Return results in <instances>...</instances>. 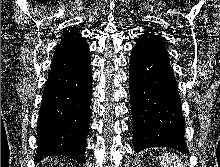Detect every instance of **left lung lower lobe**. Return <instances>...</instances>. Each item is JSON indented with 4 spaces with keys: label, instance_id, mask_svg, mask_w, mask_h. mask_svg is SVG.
Instances as JSON below:
<instances>
[{
    "label": "left lung lower lobe",
    "instance_id": "left-lung-lower-lobe-1",
    "mask_svg": "<svg viewBox=\"0 0 220 167\" xmlns=\"http://www.w3.org/2000/svg\"><path fill=\"white\" fill-rule=\"evenodd\" d=\"M129 77L134 150L168 147L185 153V121L168 54L133 50Z\"/></svg>",
    "mask_w": 220,
    "mask_h": 167
}]
</instances>
